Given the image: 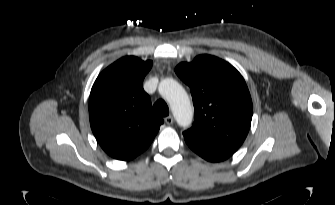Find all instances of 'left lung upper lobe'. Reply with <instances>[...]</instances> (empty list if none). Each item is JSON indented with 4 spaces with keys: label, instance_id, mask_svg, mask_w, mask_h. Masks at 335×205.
<instances>
[{
    "label": "left lung upper lobe",
    "instance_id": "5c2ea615",
    "mask_svg": "<svg viewBox=\"0 0 335 205\" xmlns=\"http://www.w3.org/2000/svg\"><path fill=\"white\" fill-rule=\"evenodd\" d=\"M175 72L190 87L195 109L193 126L183 133L184 138L210 149L236 152L248 134L253 114L241 74L211 55L180 63Z\"/></svg>",
    "mask_w": 335,
    "mask_h": 205
}]
</instances>
